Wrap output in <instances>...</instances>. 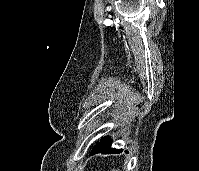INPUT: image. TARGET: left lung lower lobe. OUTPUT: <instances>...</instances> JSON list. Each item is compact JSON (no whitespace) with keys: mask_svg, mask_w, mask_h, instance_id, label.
Returning a JSON list of instances; mask_svg holds the SVG:
<instances>
[{"mask_svg":"<svg viewBox=\"0 0 199 171\" xmlns=\"http://www.w3.org/2000/svg\"><path fill=\"white\" fill-rule=\"evenodd\" d=\"M112 139L109 136H105L101 139V141L95 145V147L91 151V155L96 153H118L122 150H116L111 148Z\"/></svg>","mask_w":199,"mask_h":171,"instance_id":"obj_1","label":"left lung lower lobe"}]
</instances>
